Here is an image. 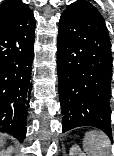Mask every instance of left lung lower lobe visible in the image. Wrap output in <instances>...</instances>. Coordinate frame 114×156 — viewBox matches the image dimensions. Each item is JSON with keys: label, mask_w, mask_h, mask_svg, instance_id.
<instances>
[{"label": "left lung lower lobe", "mask_w": 114, "mask_h": 156, "mask_svg": "<svg viewBox=\"0 0 114 156\" xmlns=\"http://www.w3.org/2000/svg\"><path fill=\"white\" fill-rule=\"evenodd\" d=\"M57 68L62 131L94 126L112 140L111 43L103 17L86 1L72 3L61 15Z\"/></svg>", "instance_id": "1"}]
</instances>
